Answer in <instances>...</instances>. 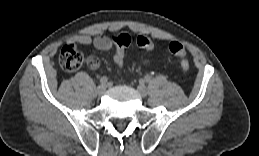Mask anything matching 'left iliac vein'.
Wrapping results in <instances>:
<instances>
[{
    "label": "left iliac vein",
    "mask_w": 259,
    "mask_h": 156,
    "mask_svg": "<svg viewBox=\"0 0 259 156\" xmlns=\"http://www.w3.org/2000/svg\"><path fill=\"white\" fill-rule=\"evenodd\" d=\"M137 91H138V93L140 94V96H142V97L147 96L148 91H147L146 86H145L143 83H140V84L137 86Z\"/></svg>",
    "instance_id": "obj_1"
}]
</instances>
